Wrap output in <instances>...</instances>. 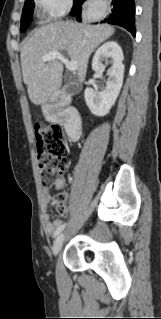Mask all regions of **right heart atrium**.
<instances>
[{
	"mask_svg": "<svg viewBox=\"0 0 161 319\" xmlns=\"http://www.w3.org/2000/svg\"><path fill=\"white\" fill-rule=\"evenodd\" d=\"M36 4L41 8L47 20H54L69 10L72 0H37Z\"/></svg>",
	"mask_w": 161,
	"mask_h": 319,
	"instance_id": "right-heart-atrium-1",
	"label": "right heart atrium"
}]
</instances>
